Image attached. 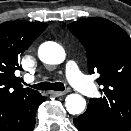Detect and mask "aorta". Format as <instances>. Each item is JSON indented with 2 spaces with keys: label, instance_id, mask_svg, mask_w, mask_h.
Returning <instances> with one entry per match:
<instances>
[{
  "label": "aorta",
  "instance_id": "1",
  "mask_svg": "<svg viewBox=\"0 0 131 131\" xmlns=\"http://www.w3.org/2000/svg\"><path fill=\"white\" fill-rule=\"evenodd\" d=\"M39 58L47 64H60L65 59L64 49L54 42H45L39 47ZM86 106L85 99L79 94H70L65 99V107L72 114H80Z\"/></svg>",
  "mask_w": 131,
  "mask_h": 131
}]
</instances>
